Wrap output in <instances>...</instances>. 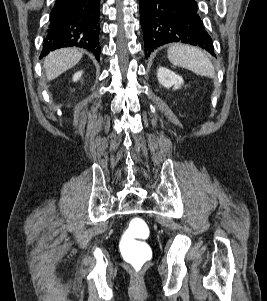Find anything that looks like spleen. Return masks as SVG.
I'll list each match as a JSON object with an SVG mask.
<instances>
[{
	"label": "spleen",
	"instance_id": "obj_1",
	"mask_svg": "<svg viewBox=\"0 0 267 301\" xmlns=\"http://www.w3.org/2000/svg\"><path fill=\"white\" fill-rule=\"evenodd\" d=\"M168 59L173 65L189 69L197 75L209 78L215 75L211 60L198 48L182 44L171 45Z\"/></svg>",
	"mask_w": 267,
	"mask_h": 301
}]
</instances>
